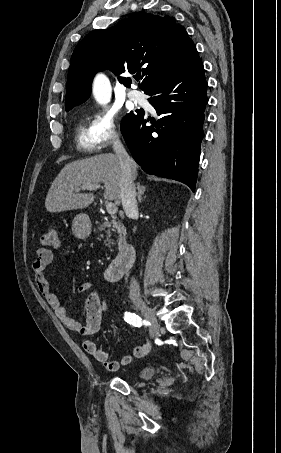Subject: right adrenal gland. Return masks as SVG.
I'll list each match as a JSON object with an SVG mask.
<instances>
[{
  "label": "right adrenal gland",
  "instance_id": "obj_1",
  "mask_svg": "<svg viewBox=\"0 0 281 453\" xmlns=\"http://www.w3.org/2000/svg\"><path fill=\"white\" fill-rule=\"evenodd\" d=\"M146 186H142V184H140V182H137V200L138 202H142L143 198H142V194H144V190H145Z\"/></svg>",
  "mask_w": 281,
  "mask_h": 453
}]
</instances>
